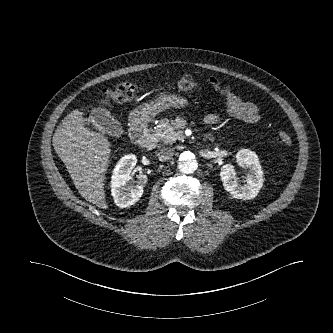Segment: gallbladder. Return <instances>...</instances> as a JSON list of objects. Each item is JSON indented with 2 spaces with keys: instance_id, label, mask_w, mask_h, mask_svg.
<instances>
[{
  "instance_id": "obj_1",
  "label": "gallbladder",
  "mask_w": 333,
  "mask_h": 333,
  "mask_svg": "<svg viewBox=\"0 0 333 333\" xmlns=\"http://www.w3.org/2000/svg\"><path fill=\"white\" fill-rule=\"evenodd\" d=\"M91 119L93 126L101 133L114 137H120L123 134L121 123L104 108H94Z\"/></svg>"
}]
</instances>
